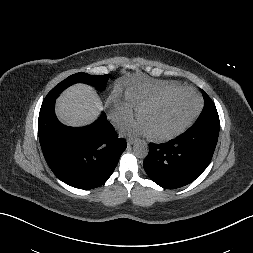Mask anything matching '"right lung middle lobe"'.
Segmentation results:
<instances>
[{
	"instance_id": "right-lung-middle-lobe-1",
	"label": "right lung middle lobe",
	"mask_w": 253,
	"mask_h": 253,
	"mask_svg": "<svg viewBox=\"0 0 253 253\" xmlns=\"http://www.w3.org/2000/svg\"><path fill=\"white\" fill-rule=\"evenodd\" d=\"M109 79L108 75H89L87 73H76L65 80L60 82L57 86H55L47 96H51L54 94H59L62 92L66 87L70 86L73 83L82 82L86 84H90L100 90L104 89L107 81Z\"/></svg>"
}]
</instances>
